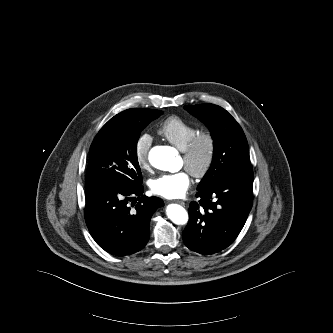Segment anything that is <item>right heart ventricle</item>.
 <instances>
[{"instance_id":"1","label":"right heart ventricle","mask_w":333,"mask_h":333,"mask_svg":"<svg viewBox=\"0 0 333 333\" xmlns=\"http://www.w3.org/2000/svg\"><path fill=\"white\" fill-rule=\"evenodd\" d=\"M157 132L178 149L184 150L198 133V128L178 116H170L162 122Z\"/></svg>"}]
</instances>
